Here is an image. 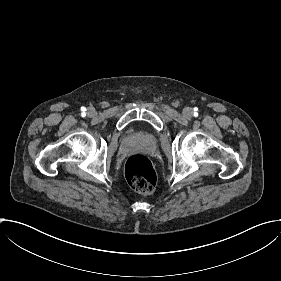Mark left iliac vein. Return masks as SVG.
<instances>
[{
  "mask_svg": "<svg viewBox=\"0 0 281 281\" xmlns=\"http://www.w3.org/2000/svg\"><path fill=\"white\" fill-rule=\"evenodd\" d=\"M183 116H184V118H186V119L191 118V116H192V110H191V108H189V107L184 108V110H183Z\"/></svg>",
  "mask_w": 281,
  "mask_h": 281,
  "instance_id": "left-iliac-vein-1",
  "label": "left iliac vein"
}]
</instances>
